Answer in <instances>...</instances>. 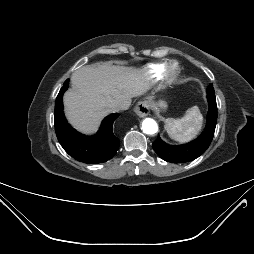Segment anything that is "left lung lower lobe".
Returning <instances> with one entry per match:
<instances>
[{
	"instance_id": "0a47b994",
	"label": "left lung lower lobe",
	"mask_w": 254,
	"mask_h": 254,
	"mask_svg": "<svg viewBox=\"0 0 254 254\" xmlns=\"http://www.w3.org/2000/svg\"><path fill=\"white\" fill-rule=\"evenodd\" d=\"M207 99L209 111L207 125L202 135L188 144L179 146L168 145L158 137L152 146L160 158L171 163H184L198 158L206 151L213 139L217 122V104L213 87H207Z\"/></svg>"
}]
</instances>
